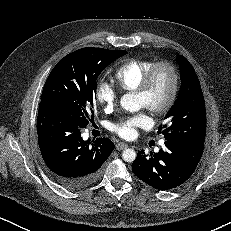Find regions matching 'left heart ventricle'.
<instances>
[{
  "mask_svg": "<svg viewBox=\"0 0 231 231\" xmlns=\"http://www.w3.org/2000/svg\"><path fill=\"white\" fill-rule=\"evenodd\" d=\"M171 88V75L167 69H160L156 75L148 96L136 95L140 107L152 104L159 106L167 99Z\"/></svg>",
  "mask_w": 231,
  "mask_h": 231,
  "instance_id": "1",
  "label": "left heart ventricle"
}]
</instances>
